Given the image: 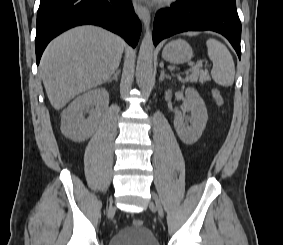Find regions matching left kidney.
<instances>
[{
  "instance_id": "1",
  "label": "left kidney",
  "mask_w": 283,
  "mask_h": 245,
  "mask_svg": "<svg viewBox=\"0 0 283 245\" xmlns=\"http://www.w3.org/2000/svg\"><path fill=\"white\" fill-rule=\"evenodd\" d=\"M167 98H169L168 93ZM186 100L181 107L182 112H190L191 115L188 118L190 126H185V119L181 111L175 113L174 128L179 138L185 144L191 145L198 141L201 137L203 130L205 129L208 114L205 103L200 97L199 93L193 88H187L185 90Z\"/></svg>"
}]
</instances>
